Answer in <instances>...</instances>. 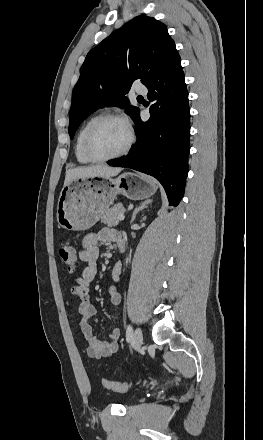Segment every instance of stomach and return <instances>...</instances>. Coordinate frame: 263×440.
<instances>
[{
    "label": "stomach",
    "instance_id": "0dacf381",
    "mask_svg": "<svg viewBox=\"0 0 263 440\" xmlns=\"http://www.w3.org/2000/svg\"><path fill=\"white\" fill-rule=\"evenodd\" d=\"M156 190L153 179L135 173H124L116 179H73L64 185L59 195L58 225L68 231L87 230L109 209L118 194L131 200H142Z\"/></svg>",
    "mask_w": 263,
    "mask_h": 440
}]
</instances>
